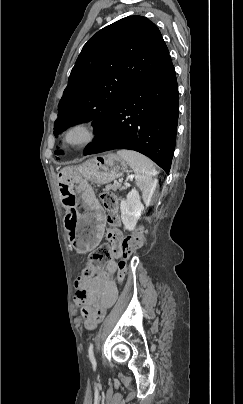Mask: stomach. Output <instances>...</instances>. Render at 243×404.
<instances>
[{
  "label": "stomach",
  "instance_id": "stomach-1",
  "mask_svg": "<svg viewBox=\"0 0 243 404\" xmlns=\"http://www.w3.org/2000/svg\"><path fill=\"white\" fill-rule=\"evenodd\" d=\"M126 161L117 154L98 155L78 167H66L58 174L62 204L67 209L64 226L78 252L93 250L100 242L105 213L89 182L103 185L120 178Z\"/></svg>",
  "mask_w": 243,
  "mask_h": 404
}]
</instances>
